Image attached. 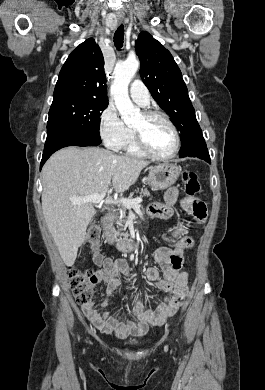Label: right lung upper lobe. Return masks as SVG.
Returning a JSON list of instances; mask_svg holds the SVG:
<instances>
[{
	"mask_svg": "<svg viewBox=\"0 0 265 390\" xmlns=\"http://www.w3.org/2000/svg\"><path fill=\"white\" fill-rule=\"evenodd\" d=\"M65 98L108 101L103 54L92 38L73 50L61 68L53 100Z\"/></svg>",
	"mask_w": 265,
	"mask_h": 390,
	"instance_id": "obj_1",
	"label": "right lung upper lobe"
}]
</instances>
